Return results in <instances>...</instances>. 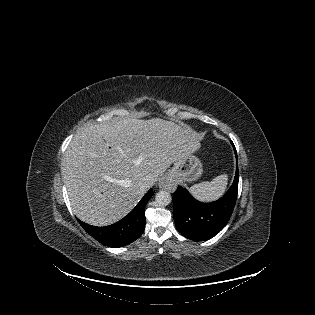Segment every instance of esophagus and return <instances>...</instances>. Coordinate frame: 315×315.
I'll use <instances>...</instances> for the list:
<instances>
[{"label": "esophagus", "instance_id": "esophagus-1", "mask_svg": "<svg viewBox=\"0 0 315 315\" xmlns=\"http://www.w3.org/2000/svg\"><path fill=\"white\" fill-rule=\"evenodd\" d=\"M158 186L161 189L174 191L176 189V183L169 176H164L159 180Z\"/></svg>", "mask_w": 315, "mask_h": 315}]
</instances>
